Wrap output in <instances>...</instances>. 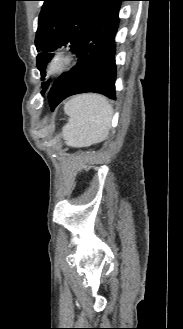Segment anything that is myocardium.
I'll return each mask as SVG.
<instances>
[{
    "instance_id": "myocardium-1",
    "label": "myocardium",
    "mask_w": 183,
    "mask_h": 329,
    "mask_svg": "<svg viewBox=\"0 0 183 329\" xmlns=\"http://www.w3.org/2000/svg\"><path fill=\"white\" fill-rule=\"evenodd\" d=\"M78 58L77 51L70 46L58 48L47 63L46 71L49 75H59L70 69Z\"/></svg>"
}]
</instances>
